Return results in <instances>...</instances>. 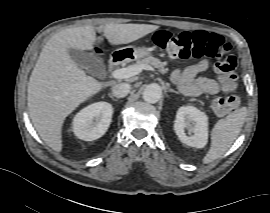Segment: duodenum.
<instances>
[{
  "instance_id": "410a0bca",
  "label": "duodenum",
  "mask_w": 270,
  "mask_h": 213,
  "mask_svg": "<svg viewBox=\"0 0 270 213\" xmlns=\"http://www.w3.org/2000/svg\"><path fill=\"white\" fill-rule=\"evenodd\" d=\"M126 56L125 54L123 53H114L112 56H111V61H110V68H115L119 65H121L124 60H125Z\"/></svg>"
}]
</instances>
